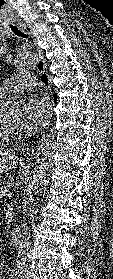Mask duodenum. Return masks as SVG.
I'll list each match as a JSON object with an SVG mask.
<instances>
[{"label": "duodenum", "instance_id": "410a0bca", "mask_svg": "<svg viewBox=\"0 0 113 279\" xmlns=\"http://www.w3.org/2000/svg\"><path fill=\"white\" fill-rule=\"evenodd\" d=\"M20 238H21V227H20V225L19 224L12 225L11 231H10V240L15 245H18L20 243Z\"/></svg>", "mask_w": 113, "mask_h": 279}]
</instances>
